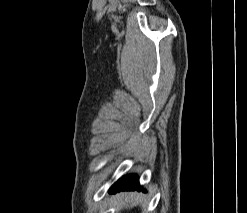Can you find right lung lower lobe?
Segmentation results:
<instances>
[{"label": "right lung lower lobe", "mask_w": 247, "mask_h": 213, "mask_svg": "<svg viewBox=\"0 0 247 213\" xmlns=\"http://www.w3.org/2000/svg\"><path fill=\"white\" fill-rule=\"evenodd\" d=\"M134 189L141 190V187L139 185L138 177L132 174L121 178L112 186V189L109 192L115 193L116 191Z\"/></svg>", "instance_id": "obj_1"}]
</instances>
